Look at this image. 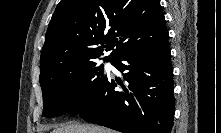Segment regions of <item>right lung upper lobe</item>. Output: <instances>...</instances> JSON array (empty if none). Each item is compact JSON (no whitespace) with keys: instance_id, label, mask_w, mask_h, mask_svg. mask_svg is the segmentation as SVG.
Wrapping results in <instances>:
<instances>
[{"instance_id":"cb5924a9","label":"right lung upper lobe","mask_w":221,"mask_h":133,"mask_svg":"<svg viewBox=\"0 0 221 133\" xmlns=\"http://www.w3.org/2000/svg\"><path fill=\"white\" fill-rule=\"evenodd\" d=\"M168 36L159 0H61L46 33L40 75L58 64L94 62L103 48L116 47L104 57L113 62Z\"/></svg>"}]
</instances>
